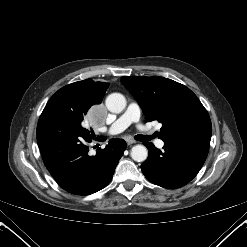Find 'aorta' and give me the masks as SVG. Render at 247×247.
Wrapping results in <instances>:
<instances>
[{"mask_svg": "<svg viewBox=\"0 0 247 247\" xmlns=\"http://www.w3.org/2000/svg\"><path fill=\"white\" fill-rule=\"evenodd\" d=\"M106 107L112 113H120L126 107V99L120 93H112L106 98ZM132 159L137 162H143L148 157V150L144 145H135L130 153Z\"/></svg>", "mask_w": 247, "mask_h": 247, "instance_id": "1", "label": "aorta"}]
</instances>
